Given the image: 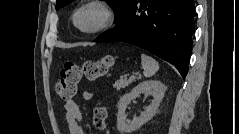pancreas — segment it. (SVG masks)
I'll return each mask as SVG.
<instances>
[{"instance_id":"obj_1","label":"pancreas","mask_w":239,"mask_h":134,"mask_svg":"<svg viewBox=\"0 0 239 134\" xmlns=\"http://www.w3.org/2000/svg\"><path fill=\"white\" fill-rule=\"evenodd\" d=\"M136 80L135 76H131L130 78H121L117 82L113 84V87L117 90H121L132 84Z\"/></svg>"}]
</instances>
